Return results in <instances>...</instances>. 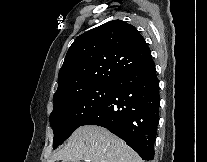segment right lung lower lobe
Returning <instances> with one entry per match:
<instances>
[{
  "mask_svg": "<svg viewBox=\"0 0 207 162\" xmlns=\"http://www.w3.org/2000/svg\"><path fill=\"white\" fill-rule=\"evenodd\" d=\"M114 86L107 101L82 126L107 128L126 141L143 160H153L160 104L153 60L126 72Z\"/></svg>",
  "mask_w": 207,
  "mask_h": 162,
  "instance_id": "right-lung-lower-lobe-1",
  "label": "right lung lower lobe"
}]
</instances>
